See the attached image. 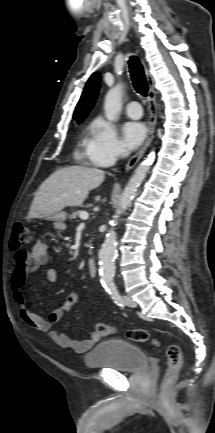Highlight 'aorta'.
Here are the masks:
<instances>
[{
	"label": "aorta",
	"instance_id": "obj_1",
	"mask_svg": "<svg viewBox=\"0 0 215 433\" xmlns=\"http://www.w3.org/2000/svg\"><path fill=\"white\" fill-rule=\"evenodd\" d=\"M122 93L123 86L119 83L110 89L105 96L104 112L106 119L110 122L116 121L119 117L122 108ZM153 161L154 154H151L136 168L134 174L129 179L120 197L119 205L113 217L111 228L107 233L99 252L101 282L108 288L113 287V277L115 272L114 260L117 254V235L115 227L118 224V218L130 206L132 198L144 180Z\"/></svg>",
	"mask_w": 215,
	"mask_h": 433
}]
</instances>
